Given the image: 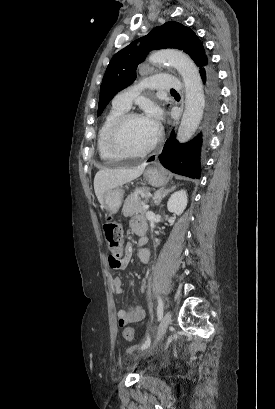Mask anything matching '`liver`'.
<instances>
[{
	"mask_svg": "<svg viewBox=\"0 0 275 409\" xmlns=\"http://www.w3.org/2000/svg\"><path fill=\"white\" fill-rule=\"evenodd\" d=\"M144 168L145 164H139L137 168H101L98 170L94 178V190L100 205H103V196L106 190L134 180L142 174Z\"/></svg>",
	"mask_w": 275,
	"mask_h": 409,
	"instance_id": "liver-1",
	"label": "liver"
}]
</instances>
